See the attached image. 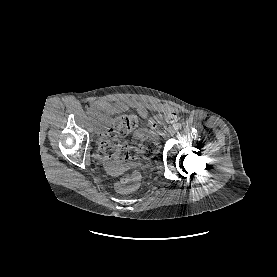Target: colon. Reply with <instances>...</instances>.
I'll list each match as a JSON object with an SVG mask.
<instances>
[{"label": "colon", "mask_w": 277, "mask_h": 277, "mask_svg": "<svg viewBox=\"0 0 277 277\" xmlns=\"http://www.w3.org/2000/svg\"><path fill=\"white\" fill-rule=\"evenodd\" d=\"M138 127L135 115L125 114L114 118L109 129L101 135L99 140V154L103 159L115 162H129L143 157L153 156L159 148L154 134H147L142 138L140 150L134 146L121 143L118 138L125 136ZM155 131L161 133L164 129L162 123L154 124ZM140 186V176L135 172L125 174L115 184L116 191L130 193Z\"/></svg>", "instance_id": "colon-1"}]
</instances>
